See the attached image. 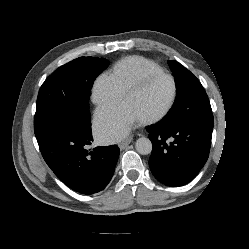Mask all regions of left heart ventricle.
I'll use <instances>...</instances> for the list:
<instances>
[{
  "label": "left heart ventricle",
  "mask_w": 249,
  "mask_h": 249,
  "mask_svg": "<svg viewBox=\"0 0 249 249\" xmlns=\"http://www.w3.org/2000/svg\"><path fill=\"white\" fill-rule=\"evenodd\" d=\"M172 84L169 79L159 77L150 81L141 90L125 97L126 102L134 112L144 118L159 112L169 101Z\"/></svg>",
  "instance_id": "left-heart-ventricle-1"
}]
</instances>
